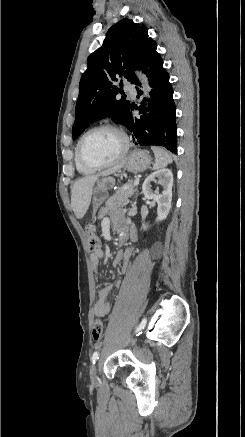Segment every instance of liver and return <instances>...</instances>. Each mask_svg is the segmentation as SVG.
<instances>
[{"label":"liver","mask_w":245,"mask_h":437,"mask_svg":"<svg viewBox=\"0 0 245 437\" xmlns=\"http://www.w3.org/2000/svg\"><path fill=\"white\" fill-rule=\"evenodd\" d=\"M122 165L104 171L99 175L86 176L77 180L71 188V207L77 219H82L91 203L93 187L100 176H108L118 171Z\"/></svg>","instance_id":"1"}]
</instances>
